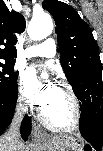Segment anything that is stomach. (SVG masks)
Segmentation results:
<instances>
[{
	"label": "stomach",
	"mask_w": 103,
	"mask_h": 151,
	"mask_svg": "<svg viewBox=\"0 0 103 151\" xmlns=\"http://www.w3.org/2000/svg\"><path fill=\"white\" fill-rule=\"evenodd\" d=\"M47 151H84L87 149L84 140L79 136L58 135L43 143Z\"/></svg>",
	"instance_id": "0dacf381"
}]
</instances>
